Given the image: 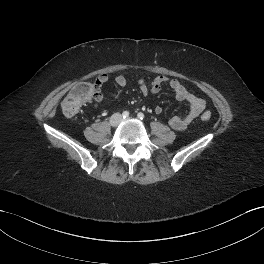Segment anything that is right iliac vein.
Listing matches in <instances>:
<instances>
[{
    "label": "right iliac vein",
    "mask_w": 264,
    "mask_h": 264,
    "mask_svg": "<svg viewBox=\"0 0 264 264\" xmlns=\"http://www.w3.org/2000/svg\"><path fill=\"white\" fill-rule=\"evenodd\" d=\"M121 120V115L120 114H114L111 119H110V124L112 126H117L118 123L120 122Z\"/></svg>",
    "instance_id": "63e3f726"
}]
</instances>
